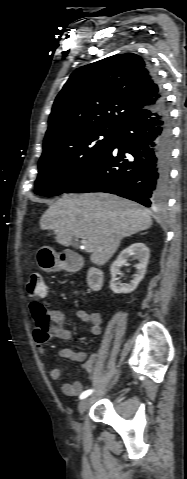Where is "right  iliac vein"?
I'll return each mask as SVG.
<instances>
[{
	"label": "right iliac vein",
	"instance_id": "1",
	"mask_svg": "<svg viewBox=\"0 0 187 479\" xmlns=\"http://www.w3.org/2000/svg\"><path fill=\"white\" fill-rule=\"evenodd\" d=\"M118 376H119V374L116 375L115 380L113 381V384L117 381ZM91 399L92 398H86V399H83L82 401H80V403L78 405V411H79L80 414L84 413L89 408V406L91 404ZM75 428L76 429L80 428V424L78 422L75 423Z\"/></svg>",
	"mask_w": 187,
	"mask_h": 479
}]
</instances>
